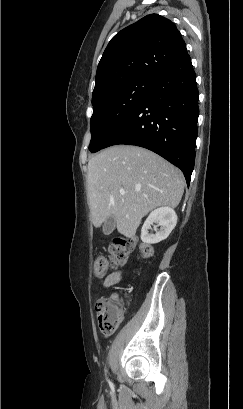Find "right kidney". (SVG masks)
I'll list each match as a JSON object with an SVG mask.
<instances>
[{"label":"right kidney","instance_id":"ca27d5eb","mask_svg":"<svg viewBox=\"0 0 243 409\" xmlns=\"http://www.w3.org/2000/svg\"><path fill=\"white\" fill-rule=\"evenodd\" d=\"M177 215L170 207H161L152 211L141 229V240L147 244H156L165 240L177 224ZM160 226L155 234H149L153 224Z\"/></svg>","mask_w":243,"mask_h":409}]
</instances>
